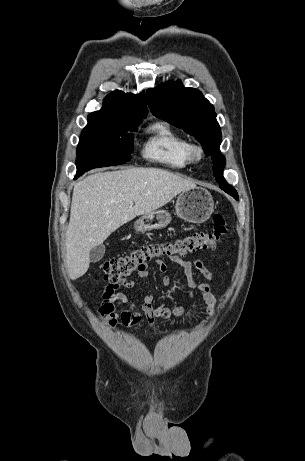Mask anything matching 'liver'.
Masks as SVG:
<instances>
[{
  "label": "liver",
  "instance_id": "liver-1",
  "mask_svg": "<svg viewBox=\"0 0 305 461\" xmlns=\"http://www.w3.org/2000/svg\"><path fill=\"white\" fill-rule=\"evenodd\" d=\"M195 187V183L157 168L97 173L76 183L65 240L69 277L83 276L91 249L103 244L120 226Z\"/></svg>",
  "mask_w": 305,
  "mask_h": 461
}]
</instances>
